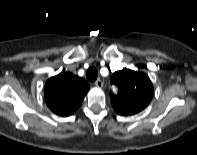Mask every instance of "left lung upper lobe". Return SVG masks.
I'll list each match as a JSON object with an SVG mask.
<instances>
[{
	"label": "left lung upper lobe",
	"mask_w": 197,
	"mask_h": 155,
	"mask_svg": "<svg viewBox=\"0 0 197 155\" xmlns=\"http://www.w3.org/2000/svg\"><path fill=\"white\" fill-rule=\"evenodd\" d=\"M111 83L119 88L118 95L110 93V98L112 107L120 115L136 114L152 99L153 86L148 75L143 72L124 68L112 75Z\"/></svg>",
	"instance_id": "1"
}]
</instances>
